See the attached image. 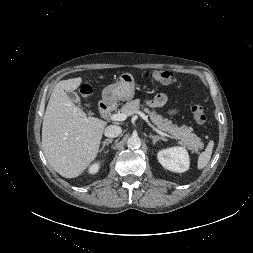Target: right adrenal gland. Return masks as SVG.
Segmentation results:
<instances>
[{"mask_svg":"<svg viewBox=\"0 0 253 253\" xmlns=\"http://www.w3.org/2000/svg\"><path fill=\"white\" fill-rule=\"evenodd\" d=\"M113 139H106L103 144H102V147L101 149L99 150V152L101 153L103 150H104V147L107 145H109L110 143H112Z\"/></svg>","mask_w":253,"mask_h":253,"instance_id":"1","label":"right adrenal gland"}]
</instances>
